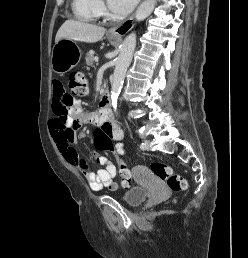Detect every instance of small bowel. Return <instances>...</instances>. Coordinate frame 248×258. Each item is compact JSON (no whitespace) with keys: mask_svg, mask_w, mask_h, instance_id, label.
Returning <instances> with one entry per match:
<instances>
[{"mask_svg":"<svg viewBox=\"0 0 248 258\" xmlns=\"http://www.w3.org/2000/svg\"><path fill=\"white\" fill-rule=\"evenodd\" d=\"M52 109L54 116L49 126L59 151L67 162L76 166L85 176L93 191H101L108 187L112 191L128 188L123 182L114 181L117 169L106 157L97 153L93 154L94 160L103 166L94 172L85 159H81L76 151V139L74 134L79 130L83 122L91 121L100 127V130L116 142V150L124 155L121 143L123 132L119 125L108 116L102 115L100 108L97 111H84L79 100L73 99L60 81L53 83ZM65 114L67 115L66 117Z\"/></svg>","mask_w":248,"mask_h":258,"instance_id":"obj_1","label":"small bowel"}]
</instances>
